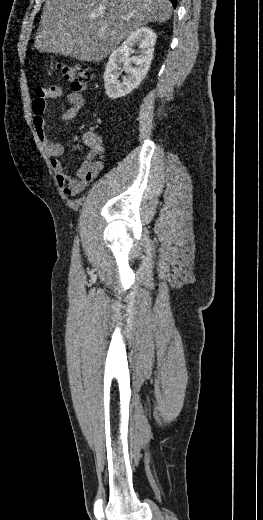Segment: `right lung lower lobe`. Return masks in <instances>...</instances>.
<instances>
[{"label":"right lung lower lobe","instance_id":"98d812e1","mask_svg":"<svg viewBox=\"0 0 263 520\" xmlns=\"http://www.w3.org/2000/svg\"><path fill=\"white\" fill-rule=\"evenodd\" d=\"M170 1L172 2L173 6L176 7V5H177V0H170Z\"/></svg>","mask_w":263,"mask_h":520}]
</instances>
